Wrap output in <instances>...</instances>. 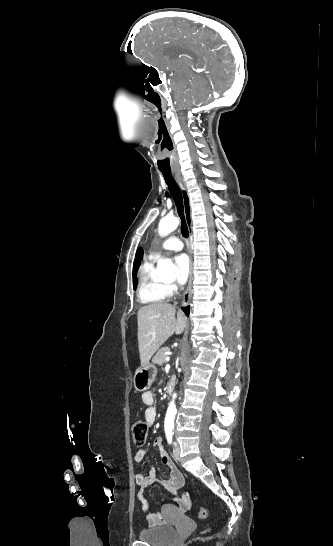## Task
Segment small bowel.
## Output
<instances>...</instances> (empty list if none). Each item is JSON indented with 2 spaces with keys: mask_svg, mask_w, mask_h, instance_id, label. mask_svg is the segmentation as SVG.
<instances>
[{
  "mask_svg": "<svg viewBox=\"0 0 333 546\" xmlns=\"http://www.w3.org/2000/svg\"><path fill=\"white\" fill-rule=\"evenodd\" d=\"M142 402L147 406L145 410V422L151 426L155 423L157 412L154 407L155 396L152 392H144L141 396ZM153 446L158 449L160 459L163 465L169 469L170 476L168 479H158L154 468H150L146 474H136L135 482L139 487L138 499L141 503L143 511L146 513V519L151 526H160L166 523V514L173 511V507L170 504H164L162 511L152 512L149 509L148 501L145 497V491L153 484L159 483L166 491L174 496V502L181 510H187L190 507V498L188 494H184L182 497L177 496V491L184 484V476L181 471L174 465L171 457L166 452L163 446V441L160 437H157L153 441ZM146 457L145 450H138L135 454V461L141 463Z\"/></svg>",
  "mask_w": 333,
  "mask_h": 546,
  "instance_id": "c3829d8e",
  "label": "small bowel"
}]
</instances>
